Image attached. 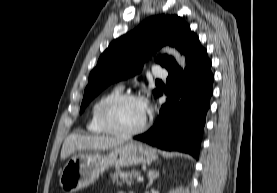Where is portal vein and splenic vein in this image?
Listing matches in <instances>:
<instances>
[{"mask_svg": "<svg viewBox=\"0 0 277 193\" xmlns=\"http://www.w3.org/2000/svg\"><path fill=\"white\" fill-rule=\"evenodd\" d=\"M143 180H144V178H143L142 176H138V177H137V181H138V182H142Z\"/></svg>", "mask_w": 277, "mask_h": 193, "instance_id": "portal-vein-and-splenic-vein-1", "label": "portal vein and splenic vein"}]
</instances>
